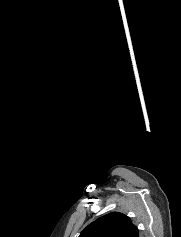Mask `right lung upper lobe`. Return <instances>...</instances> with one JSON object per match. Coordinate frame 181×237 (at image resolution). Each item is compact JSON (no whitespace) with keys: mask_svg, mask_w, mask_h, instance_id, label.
<instances>
[{"mask_svg":"<svg viewBox=\"0 0 181 237\" xmlns=\"http://www.w3.org/2000/svg\"><path fill=\"white\" fill-rule=\"evenodd\" d=\"M79 237H139V234L129 217L111 212L89 224Z\"/></svg>","mask_w":181,"mask_h":237,"instance_id":"obj_1","label":"right lung upper lobe"}]
</instances>
